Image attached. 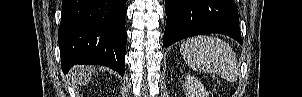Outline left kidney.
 Instances as JSON below:
<instances>
[{
	"mask_svg": "<svg viewBox=\"0 0 302 97\" xmlns=\"http://www.w3.org/2000/svg\"><path fill=\"white\" fill-rule=\"evenodd\" d=\"M184 87L188 97H209L202 83L192 75H186Z\"/></svg>",
	"mask_w": 302,
	"mask_h": 97,
	"instance_id": "5707ae66",
	"label": "left kidney"
}]
</instances>
